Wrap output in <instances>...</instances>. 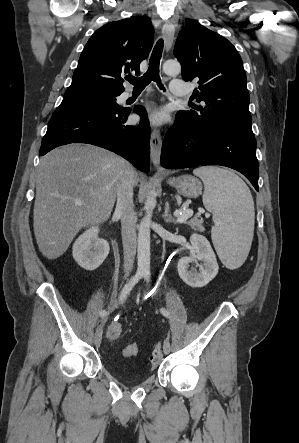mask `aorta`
Wrapping results in <instances>:
<instances>
[{
    "label": "aorta",
    "instance_id": "obj_1",
    "mask_svg": "<svg viewBox=\"0 0 299 443\" xmlns=\"http://www.w3.org/2000/svg\"><path fill=\"white\" fill-rule=\"evenodd\" d=\"M163 72L168 76H177L181 72V65L178 61L168 60L163 64ZM155 206L156 198L150 193L145 201V216L138 230L137 271L141 274H150V223Z\"/></svg>",
    "mask_w": 299,
    "mask_h": 443
}]
</instances>
